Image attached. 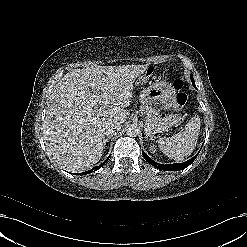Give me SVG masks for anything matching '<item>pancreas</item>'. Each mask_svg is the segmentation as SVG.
I'll list each match as a JSON object with an SVG mask.
<instances>
[{
  "label": "pancreas",
  "mask_w": 247,
  "mask_h": 247,
  "mask_svg": "<svg viewBox=\"0 0 247 247\" xmlns=\"http://www.w3.org/2000/svg\"><path fill=\"white\" fill-rule=\"evenodd\" d=\"M145 115V125L151 132H163L170 129L173 125L172 116L161 117L157 110L151 106L142 107Z\"/></svg>",
  "instance_id": "cf45deb5"
}]
</instances>
